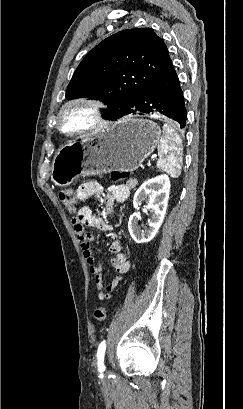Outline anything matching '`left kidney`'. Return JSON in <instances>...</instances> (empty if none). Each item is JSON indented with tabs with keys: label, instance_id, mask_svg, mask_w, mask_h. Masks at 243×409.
<instances>
[{
	"label": "left kidney",
	"instance_id": "obj_1",
	"mask_svg": "<svg viewBox=\"0 0 243 409\" xmlns=\"http://www.w3.org/2000/svg\"><path fill=\"white\" fill-rule=\"evenodd\" d=\"M170 191V180L165 174L145 181L136 191L133 198V206L138 209L144 201L147 209L152 213L148 220V228L141 230L138 222L140 215L133 213L128 222V230L136 243H146L154 238L163 223Z\"/></svg>",
	"mask_w": 243,
	"mask_h": 409
}]
</instances>
